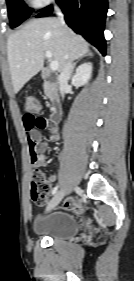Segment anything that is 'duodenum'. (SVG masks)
<instances>
[{
	"label": "duodenum",
	"instance_id": "1",
	"mask_svg": "<svg viewBox=\"0 0 134 281\" xmlns=\"http://www.w3.org/2000/svg\"><path fill=\"white\" fill-rule=\"evenodd\" d=\"M46 83L51 93H54L56 89V83L48 79H46ZM53 104H54V110L50 116V119L53 123H59L61 120V110L59 108L58 100L56 99L55 96L53 97Z\"/></svg>",
	"mask_w": 134,
	"mask_h": 281
}]
</instances>
